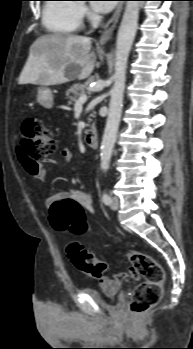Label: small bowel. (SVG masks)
Segmentation results:
<instances>
[{
	"mask_svg": "<svg viewBox=\"0 0 193 349\" xmlns=\"http://www.w3.org/2000/svg\"><path fill=\"white\" fill-rule=\"evenodd\" d=\"M61 155L65 164H70L72 162L73 155L69 148L64 147L61 150ZM18 157H19V161L21 162L25 170L31 176L39 180H44L45 174L39 166L35 170H30L28 168V160L22 154L20 148L18 149ZM48 162L58 163L55 160H49ZM64 200L75 201L79 205H81L83 209L86 210L88 213H91V214L94 213L92 196L88 191L82 190V189L71 188V189L62 190L59 193L48 197L45 203L47 206H51L53 203L57 201H64ZM137 277H138L137 271L133 267H129L127 271L119 272L112 277L104 276L100 278L99 285L104 291L108 293H114L118 290V288L121 286V284L125 280L135 279Z\"/></svg>",
	"mask_w": 193,
	"mask_h": 349,
	"instance_id": "obj_1",
	"label": "small bowel"
}]
</instances>
